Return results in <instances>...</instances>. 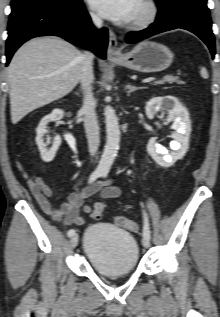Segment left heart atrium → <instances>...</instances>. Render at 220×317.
<instances>
[{
  "label": "left heart atrium",
  "mask_w": 220,
  "mask_h": 317,
  "mask_svg": "<svg viewBox=\"0 0 220 317\" xmlns=\"http://www.w3.org/2000/svg\"><path fill=\"white\" fill-rule=\"evenodd\" d=\"M138 0H89L90 5L102 16L116 22H129L133 18Z\"/></svg>",
  "instance_id": "obj_1"
}]
</instances>
